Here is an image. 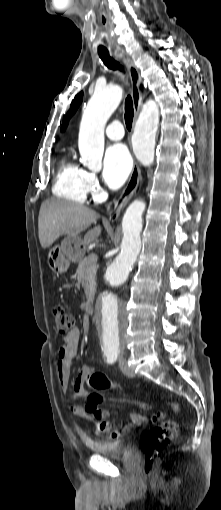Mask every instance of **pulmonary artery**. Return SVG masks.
I'll list each match as a JSON object with an SVG mask.
<instances>
[{"mask_svg":"<svg viewBox=\"0 0 221 510\" xmlns=\"http://www.w3.org/2000/svg\"><path fill=\"white\" fill-rule=\"evenodd\" d=\"M105 134L110 140L118 141L123 138L124 129L120 122L115 121L106 127Z\"/></svg>","mask_w":221,"mask_h":510,"instance_id":"pulmonary-artery-1","label":"pulmonary artery"}]
</instances>
